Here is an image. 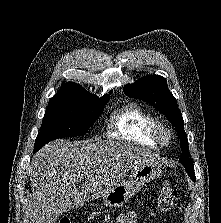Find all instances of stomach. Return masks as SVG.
Listing matches in <instances>:
<instances>
[{
    "label": "stomach",
    "instance_id": "stomach-1",
    "mask_svg": "<svg viewBox=\"0 0 221 223\" xmlns=\"http://www.w3.org/2000/svg\"><path fill=\"white\" fill-rule=\"evenodd\" d=\"M161 174V165L156 161H144L135 165L127 182H120L103 196L106 206L122 207L134 194Z\"/></svg>",
    "mask_w": 221,
    "mask_h": 223
}]
</instances>
